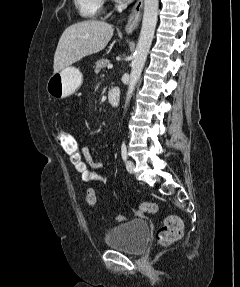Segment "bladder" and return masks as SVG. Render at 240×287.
I'll list each match as a JSON object with an SVG mask.
<instances>
[{"mask_svg": "<svg viewBox=\"0 0 240 287\" xmlns=\"http://www.w3.org/2000/svg\"><path fill=\"white\" fill-rule=\"evenodd\" d=\"M150 227L147 221L132 219L110 228L105 235V245L122 252L139 255L147 246Z\"/></svg>", "mask_w": 240, "mask_h": 287, "instance_id": "obj_1", "label": "bladder"}]
</instances>
